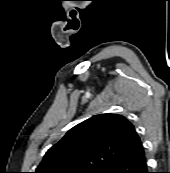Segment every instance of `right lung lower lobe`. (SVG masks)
<instances>
[{
    "label": "right lung lower lobe",
    "mask_w": 170,
    "mask_h": 173,
    "mask_svg": "<svg viewBox=\"0 0 170 173\" xmlns=\"http://www.w3.org/2000/svg\"><path fill=\"white\" fill-rule=\"evenodd\" d=\"M102 173H149L144 148L142 147L137 153L112 164Z\"/></svg>",
    "instance_id": "98d812e1"
}]
</instances>
